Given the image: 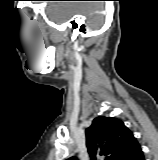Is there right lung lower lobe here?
I'll return each mask as SVG.
<instances>
[{
    "label": "right lung lower lobe",
    "instance_id": "obj_1",
    "mask_svg": "<svg viewBox=\"0 0 158 160\" xmlns=\"http://www.w3.org/2000/svg\"><path fill=\"white\" fill-rule=\"evenodd\" d=\"M127 160H145L141 147L139 146L137 150L127 158Z\"/></svg>",
    "mask_w": 158,
    "mask_h": 160
}]
</instances>
